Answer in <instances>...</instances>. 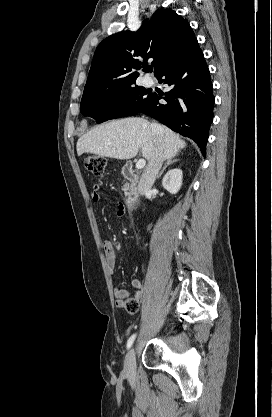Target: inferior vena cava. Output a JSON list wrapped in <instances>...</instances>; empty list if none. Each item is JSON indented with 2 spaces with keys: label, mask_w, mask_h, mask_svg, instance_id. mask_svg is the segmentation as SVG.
Returning <instances> with one entry per match:
<instances>
[{
  "label": "inferior vena cava",
  "mask_w": 272,
  "mask_h": 417,
  "mask_svg": "<svg viewBox=\"0 0 272 417\" xmlns=\"http://www.w3.org/2000/svg\"><path fill=\"white\" fill-rule=\"evenodd\" d=\"M151 129L154 133L155 147L138 184V191L141 195H145L151 190L164 161L162 128L159 124L153 122L151 123Z\"/></svg>",
  "instance_id": "602c4592"
}]
</instances>
